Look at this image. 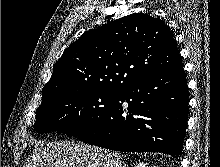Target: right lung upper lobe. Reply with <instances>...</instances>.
<instances>
[{"label": "right lung upper lobe", "instance_id": "right-lung-upper-lobe-1", "mask_svg": "<svg viewBox=\"0 0 220 167\" xmlns=\"http://www.w3.org/2000/svg\"><path fill=\"white\" fill-rule=\"evenodd\" d=\"M182 65L173 31L134 13L84 32L53 67L42 102L79 88L120 91L145 77Z\"/></svg>", "mask_w": 220, "mask_h": 167}]
</instances>
